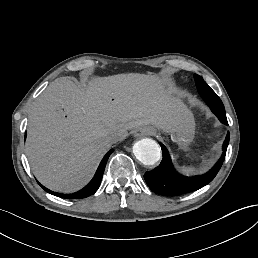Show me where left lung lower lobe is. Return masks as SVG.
<instances>
[{
  "label": "left lung lower lobe",
  "mask_w": 258,
  "mask_h": 258,
  "mask_svg": "<svg viewBox=\"0 0 258 258\" xmlns=\"http://www.w3.org/2000/svg\"><path fill=\"white\" fill-rule=\"evenodd\" d=\"M196 86L211 111L223 124L228 125L225 108L220 98L204 81H196ZM228 143L229 133L223 143L221 158L207 173L194 177L178 174L172 165L166 147L161 144L163 159L157 168L144 174L145 181L153 192L164 196H178L198 190L211 182L218 173L225 159Z\"/></svg>",
  "instance_id": "1"
}]
</instances>
